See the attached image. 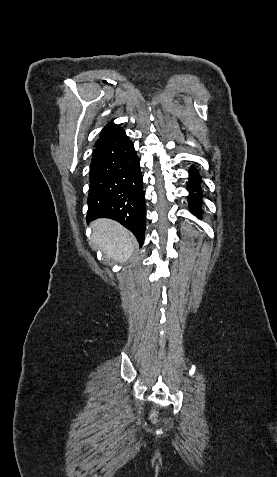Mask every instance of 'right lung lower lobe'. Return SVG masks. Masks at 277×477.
<instances>
[{
    "label": "right lung lower lobe",
    "instance_id": "98d812e1",
    "mask_svg": "<svg viewBox=\"0 0 277 477\" xmlns=\"http://www.w3.org/2000/svg\"><path fill=\"white\" fill-rule=\"evenodd\" d=\"M89 178L86 220H116L133 232L142 246L146 219L143 178L133 143L122 128L95 146Z\"/></svg>",
    "mask_w": 277,
    "mask_h": 477
}]
</instances>
